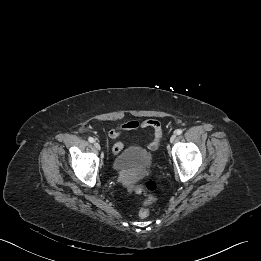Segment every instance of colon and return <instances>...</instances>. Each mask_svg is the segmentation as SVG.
<instances>
[{"mask_svg": "<svg viewBox=\"0 0 261 261\" xmlns=\"http://www.w3.org/2000/svg\"><path fill=\"white\" fill-rule=\"evenodd\" d=\"M158 186L154 181H145L138 186H133L129 188V193L133 194H144L146 196L143 205L138 211L140 218H147L150 214L148 206L152 204L155 200L154 193L157 190Z\"/></svg>", "mask_w": 261, "mask_h": 261, "instance_id": "5ec220e1", "label": "colon"}]
</instances>
